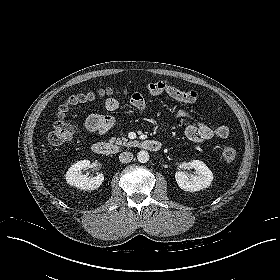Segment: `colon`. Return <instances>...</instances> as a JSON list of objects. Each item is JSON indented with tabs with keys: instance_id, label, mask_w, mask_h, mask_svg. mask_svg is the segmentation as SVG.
<instances>
[{
	"instance_id": "5ec220e1",
	"label": "colon",
	"mask_w": 280,
	"mask_h": 280,
	"mask_svg": "<svg viewBox=\"0 0 280 280\" xmlns=\"http://www.w3.org/2000/svg\"><path fill=\"white\" fill-rule=\"evenodd\" d=\"M113 92L114 91L112 89H106L100 90L99 94L110 95L113 94ZM94 97L95 93L92 91L78 93L70 96L62 105L59 106L57 111L58 120L53 124L48 136V142L51 147L60 146L72 138L73 128L68 121V114L70 110L78 104L92 100ZM92 128L94 129L93 126ZM221 157L226 163L233 162L237 157L235 147L225 146L222 149Z\"/></svg>"
}]
</instances>
